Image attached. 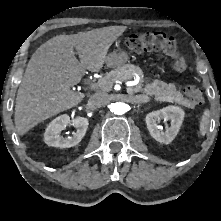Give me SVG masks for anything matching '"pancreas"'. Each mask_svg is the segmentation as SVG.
I'll return each instance as SVG.
<instances>
[{
	"label": "pancreas",
	"mask_w": 221,
	"mask_h": 221,
	"mask_svg": "<svg viewBox=\"0 0 221 221\" xmlns=\"http://www.w3.org/2000/svg\"><path fill=\"white\" fill-rule=\"evenodd\" d=\"M134 73L140 77V82L132 87L133 92H142L143 97H146L147 95H154L156 98H160L161 101L174 102L185 107L189 106V101L176 89L174 84H167L165 82L155 80L154 82L144 86L142 70L138 66H134L132 64H126L118 67L100 79V81L103 82L101 90L110 91L115 81L132 79L134 77Z\"/></svg>",
	"instance_id": "pancreas-1"
}]
</instances>
